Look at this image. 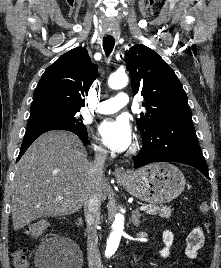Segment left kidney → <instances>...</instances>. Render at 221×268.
<instances>
[{"label": "left kidney", "mask_w": 221, "mask_h": 268, "mask_svg": "<svg viewBox=\"0 0 221 268\" xmlns=\"http://www.w3.org/2000/svg\"><path fill=\"white\" fill-rule=\"evenodd\" d=\"M173 239H174V235L172 234L171 231L166 230L163 232V242L165 244V247L159 252L163 258H166L169 256L170 254L169 250L173 243Z\"/></svg>", "instance_id": "5707ae66"}]
</instances>
